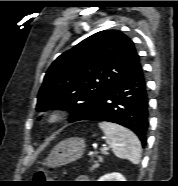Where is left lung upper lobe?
<instances>
[{"label":"left lung upper lobe","instance_id":"obj_1","mask_svg":"<svg viewBox=\"0 0 178 186\" xmlns=\"http://www.w3.org/2000/svg\"><path fill=\"white\" fill-rule=\"evenodd\" d=\"M139 66L130 38L117 30L97 32L52 63L39 90L36 110H69L73 114L70 121H74Z\"/></svg>","mask_w":178,"mask_h":186}]
</instances>
